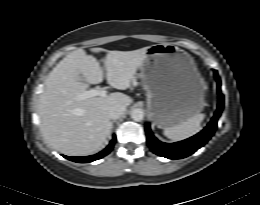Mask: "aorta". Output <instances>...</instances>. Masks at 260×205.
Segmentation results:
<instances>
[{
	"label": "aorta",
	"mask_w": 260,
	"mask_h": 205,
	"mask_svg": "<svg viewBox=\"0 0 260 205\" xmlns=\"http://www.w3.org/2000/svg\"><path fill=\"white\" fill-rule=\"evenodd\" d=\"M131 118L134 120V121H137V122H140L143 120L144 118V112L142 109L140 108H135L131 111Z\"/></svg>",
	"instance_id": "762f6f07"
}]
</instances>
